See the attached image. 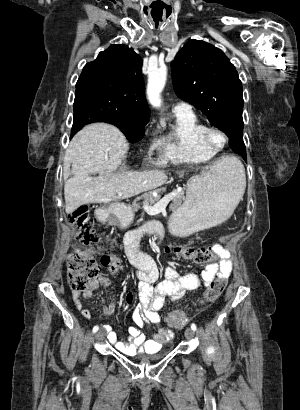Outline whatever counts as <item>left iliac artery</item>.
<instances>
[{"mask_svg": "<svg viewBox=\"0 0 300 410\" xmlns=\"http://www.w3.org/2000/svg\"><path fill=\"white\" fill-rule=\"evenodd\" d=\"M191 329H192L193 331H196L197 327H196V325H195L194 323L191 324Z\"/></svg>", "mask_w": 300, "mask_h": 410, "instance_id": "obj_1", "label": "left iliac artery"}]
</instances>
